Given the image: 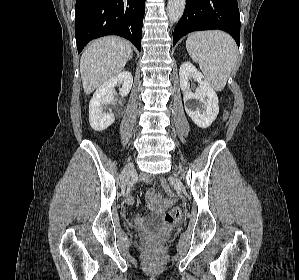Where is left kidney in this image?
<instances>
[{"mask_svg":"<svg viewBox=\"0 0 299 280\" xmlns=\"http://www.w3.org/2000/svg\"><path fill=\"white\" fill-rule=\"evenodd\" d=\"M179 76L186 113L198 127H209L219 112L217 94L205 77L188 61L180 66ZM190 78L198 82V88L195 93L190 89ZM196 101L202 104V112L197 110Z\"/></svg>","mask_w":299,"mask_h":280,"instance_id":"left-kidney-1","label":"left kidney"}]
</instances>
